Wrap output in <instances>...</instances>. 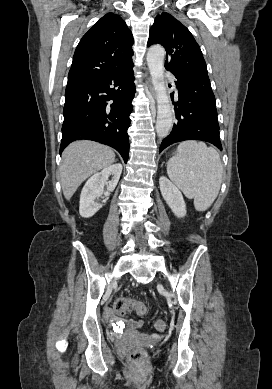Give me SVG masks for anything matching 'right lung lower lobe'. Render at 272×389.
<instances>
[{
	"label": "right lung lower lobe",
	"mask_w": 272,
	"mask_h": 389,
	"mask_svg": "<svg viewBox=\"0 0 272 389\" xmlns=\"http://www.w3.org/2000/svg\"><path fill=\"white\" fill-rule=\"evenodd\" d=\"M133 66L131 60L96 76L68 80L60 152L75 140L88 139L115 148L127 162Z\"/></svg>",
	"instance_id": "right-lung-lower-lobe-1"
}]
</instances>
